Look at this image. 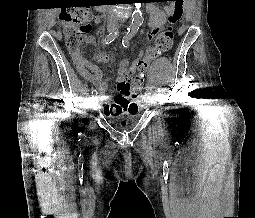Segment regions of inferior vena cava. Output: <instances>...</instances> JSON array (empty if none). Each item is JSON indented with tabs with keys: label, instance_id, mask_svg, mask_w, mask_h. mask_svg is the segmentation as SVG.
Instances as JSON below:
<instances>
[{
	"label": "inferior vena cava",
	"instance_id": "obj_1",
	"mask_svg": "<svg viewBox=\"0 0 255 218\" xmlns=\"http://www.w3.org/2000/svg\"><path fill=\"white\" fill-rule=\"evenodd\" d=\"M118 27V17L115 15H110L108 17V28H117Z\"/></svg>",
	"mask_w": 255,
	"mask_h": 218
}]
</instances>
